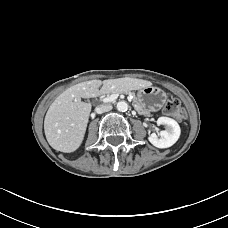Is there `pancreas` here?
<instances>
[{
	"instance_id": "1",
	"label": "pancreas",
	"mask_w": 228,
	"mask_h": 228,
	"mask_svg": "<svg viewBox=\"0 0 228 228\" xmlns=\"http://www.w3.org/2000/svg\"><path fill=\"white\" fill-rule=\"evenodd\" d=\"M109 93H113V94H120V95H129L131 100H132V103H133V107L136 109V111L141 114V115H144V116H147V117H153L154 116V113L153 112H149V111H146L144 109H142L138 103H137V99H136V95H135V92L134 91H131V92H124L123 90H120V91H112V92H109ZM108 93V94H109Z\"/></svg>"
}]
</instances>
